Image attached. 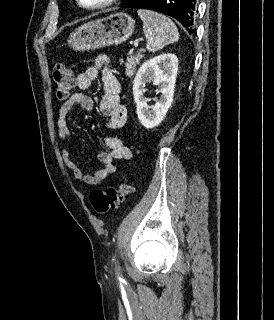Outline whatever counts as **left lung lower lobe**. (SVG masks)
I'll return each mask as SVG.
<instances>
[{
	"label": "left lung lower lobe",
	"instance_id": "0a47b994",
	"mask_svg": "<svg viewBox=\"0 0 274 320\" xmlns=\"http://www.w3.org/2000/svg\"><path fill=\"white\" fill-rule=\"evenodd\" d=\"M119 7L158 11L176 18L191 34L195 19L196 0H127Z\"/></svg>",
	"mask_w": 274,
	"mask_h": 320
}]
</instances>
